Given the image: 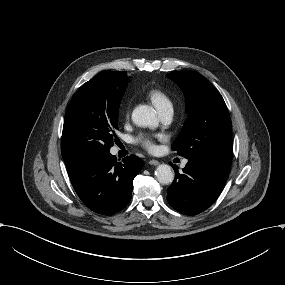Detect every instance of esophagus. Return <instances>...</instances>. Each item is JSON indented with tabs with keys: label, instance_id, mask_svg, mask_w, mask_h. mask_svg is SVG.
<instances>
[{
	"label": "esophagus",
	"instance_id": "34e87169",
	"mask_svg": "<svg viewBox=\"0 0 285 285\" xmlns=\"http://www.w3.org/2000/svg\"><path fill=\"white\" fill-rule=\"evenodd\" d=\"M148 163H149L150 165H158V164H159V161H157V160H150Z\"/></svg>",
	"mask_w": 285,
	"mask_h": 285
}]
</instances>
